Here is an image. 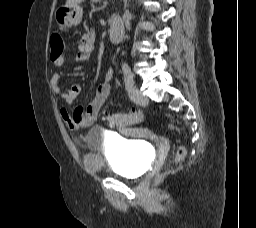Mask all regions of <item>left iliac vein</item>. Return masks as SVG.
I'll return each instance as SVG.
<instances>
[{
	"mask_svg": "<svg viewBox=\"0 0 256 228\" xmlns=\"http://www.w3.org/2000/svg\"><path fill=\"white\" fill-rule=\"evenodd\" d=\"M129 96L133 102L140 105H145L148 102L147 98L142 94V92L137 87H132L129 90Z\"/></svg>",
	"mask_w": 256,
	"mask_h": 228,
	"instance_id": "4c4485c4",
	"label": "left iliac vein"
}]
</instances>
